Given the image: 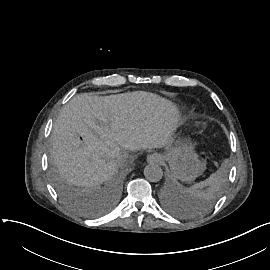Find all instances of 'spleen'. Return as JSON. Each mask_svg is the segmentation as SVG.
<instances>
[{"label":"spleen","mask_w":270,"mask_h":270,"mask_svg":"<svg viewBox=\"0 0 270 270\" xmlns=\"http://www.w3.org/2000/svg\"><path fill=\"white\" fill-rule=\"evenodd\" d=\"M225 181V172L222 170H218L217 172L210 175L204 181H201L197 184H194L190 188H182L180 184H178V188L175 191V197L181 199L184 207H194L192 203L197 202V198L199 197L200 190L206 186L211 187H219ZM191 203V204H189Z\"/></svg>","instance_id":"obj_1"}]
</instances>
